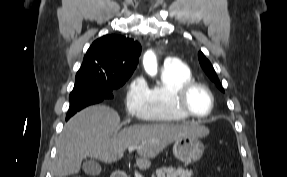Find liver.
Instances as JSON below:
<instances>
[{
	"label": "liver",
	"instance_id": "liver-1",
	"mask_svg": "<svg viewBox=\"0 0 287 177\" xmlns=\"http://www.w3.org/2000/svg\"><path fill=\"white\" fill-rule=\"evenodd\" d=\"M119 130L120 117L110 107L95 105L78 112L64 125L59 137L55 176L78 174L87 156L104 163L118 161L130 146H137V166L147 169L150 159L177 139L209 134L206 127L195 123L142 124Z\"/></svg>",
	"mask_w": 287,
	"mask_h": 177
}]
</instances>
